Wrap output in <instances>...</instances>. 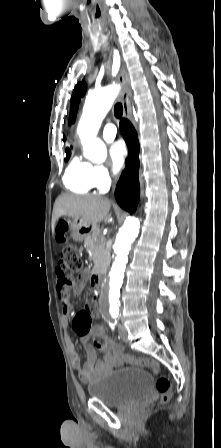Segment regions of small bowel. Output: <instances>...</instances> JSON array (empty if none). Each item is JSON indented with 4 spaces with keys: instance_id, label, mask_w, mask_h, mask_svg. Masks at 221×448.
Instances as JSON below:
<instances>
[{
    "instance_id": "1",
    "label": "small bowel",
    "mask_w": 221,
    "mask_h": 448,
    "mask_svg": "<svg viewBox=\"0 0 221 448\" xmlns=\"http://www.w3.org/2000/svg\"><path fill=\"white\" fill-rule=\"evenodd\" d=\"M58 241L60 240L58 239ZM85 281L86 272H82L79 277L72 280L70 286L71 292L74 295H79L84 288ZM58 294L63 313L62 325L67 328L72 312L70 292L69 290L58 289ZM94 303L95 307L91 308L88 297L84 310L77 313L72 321L74 331L80 336L81 343L85 345L87 352V359L85 361H83L76 345L70 337L68 335L65 337L72 365L77 370L80 380L84 383H89L109 370L121 367L124 363L122 347L107 337L101 325L91 326L92 317L98 314L95 300ZM88 326L89 328L87 329ZM90 336L94 337L93 345L88 344ZM98 349L105 353L102 359L97 358Z\"/></svg>"
}]
</instances>
